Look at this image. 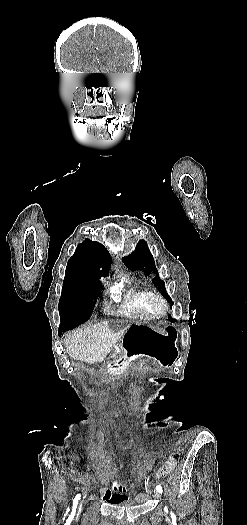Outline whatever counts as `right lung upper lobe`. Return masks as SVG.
<instances>
[{
	"label": "right lung upper lobe",
	"mask_w": 247,
	"mask_h": 525,
	"mask_svg": "<svg viewBox=\"0 0 247 525\" xmlns=\"http://www.w3.org/2000/svg\"><path fill=\"white\" fill-rule=\"evenodd\" d=\"M109 269L110 255L107 249L99 242L85 239L68 260L66 272L88 273L102 277L109 273Z\"/></svg>",
	"instance_id": "cb5924a9"
}]
</instances>
